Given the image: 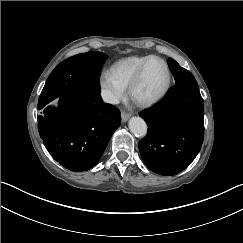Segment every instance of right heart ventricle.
Masks as SVG:
<instances>
[{"label": "right heart ventricle", "instance_id": "right-heart-ventricle-1", "mask_svg": "<svg viewBox=\"0 0 243 243\" xmlns=\"http://www.w3.org/2000/svg\"><path fill=\"white\" fill-rule=\"evenodd\" d=\"M154 57L158 56L154 54L129 55L114 62L112 67L123 86L129 88L141 65Z\"/></svg>", "mask_w": 243, "mask_h": 243}]
</instances>
